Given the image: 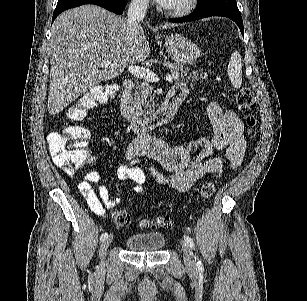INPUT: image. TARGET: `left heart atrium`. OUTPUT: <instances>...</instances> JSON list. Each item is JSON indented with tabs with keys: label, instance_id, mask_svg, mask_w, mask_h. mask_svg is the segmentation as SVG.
Masks as SVG:
<instances>
[{
	"label": "left heart atrium",
	"instance_id": "obj_1",
	"mask_svg": "<svg viewBox=\"0 0 307 301\" xmlns=\"http://www.w3.org/2000/svg\"><path fill=\"white\" fill-rule=\"evenodd\" d=\"M158 4H170L171 0H157ZM124 62H138V61H124Z\"/></svg>",
	"mask_w": 307,
	"mask_h": 301
}]
</instances>
